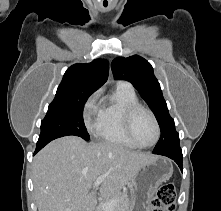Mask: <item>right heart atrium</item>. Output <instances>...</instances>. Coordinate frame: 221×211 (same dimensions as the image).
<instances>
[{"instance_id":"d8ad5b80","label":"right heart atrium","mask_w":221,"mask_h":211,"mask_svg":"<svg viewBox=\"0 0 221 211\" xmlns=\"http://www.w3.org/2000/svg\"><path fill=\"white\" fill-rule=\"evenodd\" d=\"M100 92L96 91L91 94L84 103L82 117L88 131H97L100 124L101 106Z\"/></svg>"}]
</instances>
